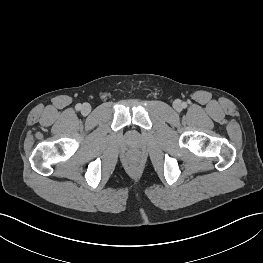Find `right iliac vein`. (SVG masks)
<instances>
[{"mask_svg": "<svg viewBox=\"0 0 263 263\" xmlns=\"http://www.w3.org/2000/svg\"><path fill=\"white\" fill-rule=\"evenodd\" d=\"M91 112V106L89 103H84L81 107V113L83 115H88Z\"/></svg>", "mask_w": 263, "mask_h": 263, "instance_id": "63e3f726", "label": "right iliac vein"}]
</instances>
